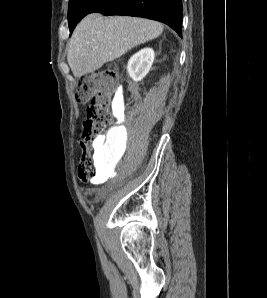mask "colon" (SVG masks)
Wrapping results in <instances>:
<instances>
[{
	"label": "colon",
	"mask_w": 267,
	"mask_h": 298,
	"mask_svg": "<svg viewBox=\"0 0 267 298\" xmlns=\"http://www.w3.org/2000/svg\"><path fill=\"white\" fill-rule=\"evenodd\" d=\"M116 82L117 73L113 69H107L83 76L75 91V99L78 103L90 102L81 127L82 154L78 176L83 181H89L98 176L96 160L90 147H100V134L113 122L110 116V102Z\"/></svg>",
	"instance_id": "5ec220e1"
}]
</instances>
